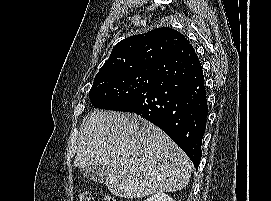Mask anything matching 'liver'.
Here are the masks:
<instances>
[{"label": "liver", "instance_id": "1", "mask_svg": "<svg viewBox=\"0 0 271 201\" xmlns=\"http://www.w3.org/2000/svg\"><path fill=\"white\" fill-rule=\"evenodd\" d=\"M103 164L105 185L120 198L176 192L189 182L191 162L160 128L131 113L94 110L84 119L74 166Z\"/></svg>", "mask_w": 271, "mask_h": 201}]
</instances>
